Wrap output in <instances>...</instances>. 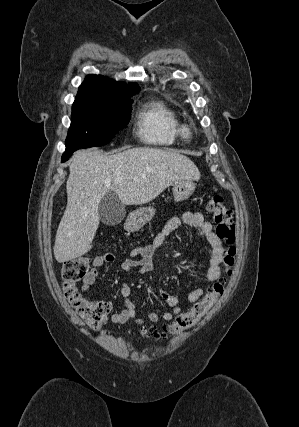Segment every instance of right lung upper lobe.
Masks as SVG:
<instances>
[{
    "label": "right lung upper lobe",
    "mask_w": 299,
    "mask_h": 427,
    "mask_svg": "<svg viewBox=\"0 0 299 427\" xmlns=\"http://www.w3.org/2000/svg\"><path fill=\"white\" fill-rule=\"evenodd\" d=\"M140 88L137 84L129 85L115 82L107 77L90 74L80 85L75 101H111L132 97Z\"/></svg>",
    "instance_id": "cb5924a9"
}]
</instances>
